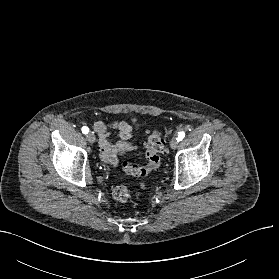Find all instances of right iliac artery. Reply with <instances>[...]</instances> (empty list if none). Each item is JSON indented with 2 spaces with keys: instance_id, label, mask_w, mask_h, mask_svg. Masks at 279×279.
<instances>
[{
  "instance_id": "1",
  "label": "right iliac artery",
  "mask_w": 279,
  "mask_h": 279,
  "mask_svg": "<svg viewBox=\"0 0 279 279\" xmlns=\"http://www.w3.org/2000/svg\"><path fill=\"white\" fill-rule=\"evenodd\" d=\"M81 130H82V133H84V134H87L89 132V128L86 126L82 127Z\"/></svg>"
}]
</instances>
